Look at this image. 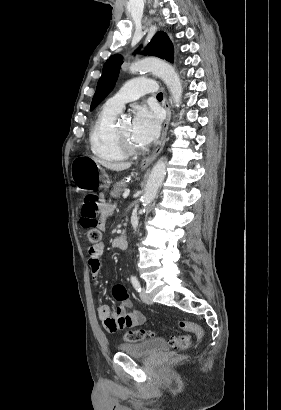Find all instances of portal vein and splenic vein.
<instances>
[{"label": "portal vein and splenic vein", "mask_w": 281, "mask_h": 410, "mask_svg": "<svg viewBox=\"0 0 281 410\" xmlns=\"http://www.w3.org/2000/svg\"><path fill=\"white\" fill-rule=\"evenodd\" d=\"M130 193V189H126L123 193V198H127Z\"/></svg>", "instance_id": "portal-vein-and-splenic-vein-1"}]
</instances>
